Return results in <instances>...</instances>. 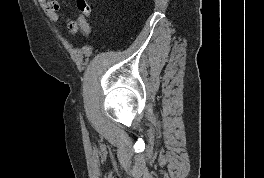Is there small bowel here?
<instances>
[{
	"mask_svg": "<svg viewBox=\"0 0 264 178\" xmlns=\"http://www.w3.org/2000/svg\"><path fill=\"white\" fill-rule=\"evenodd\" d=\"M40 6L52 22L60 20V4L57 0H38ZM86 25V19L79 15L77 19H67L66 27L70 34H76Z\"/></svg>",
	"mask_w": 264,
	"mask_h": 178,
	"instance_id": "1",
	"label": "small bowel"
}]
</instances>
